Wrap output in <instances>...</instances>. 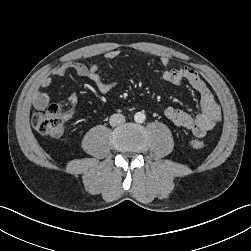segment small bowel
Returning <instances> with one entry per match:
<instances>
[{
	"instance_id": "small-bowel-1",
	"label": "small bowel",
	"mask_w": 251,
	"mask_h": 251,
	"mask_svg": "<svg viewBox=\"0 0 251 251\" xmlns=\"http://www.w3.org/2000/svg\"><path fill=\"white\" fill-rule=\"evenodd\" d=\"M119 55L120 52L118 50H111L105 54V58L107 60H115ZM160 62L165 68L162 73L164 81L174 85H179L186 81L198 93L200 98V112L196 116H192L183 110L169 106L164 111L166 118L174 125L190 130L196 137H203L221 120V109L212 92L194 69L188 66L169 68L171 62L168 57H162ZM99 68L100 65L96 62L88 65L79 62H70L55 68L52 71V76L61 77L68 71H74L78 76L90 79L100 93L107 94L118 86V81L105 80L100 75ZM52 82V77H45L41 80L40 87L44 89L49 88ZM68 100L72 105H76L78 97L75 93H71ZM48 103L49 96L46 93L40 92L36 95V107H46Z\"/></svg>"
}]
</instances>
